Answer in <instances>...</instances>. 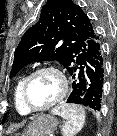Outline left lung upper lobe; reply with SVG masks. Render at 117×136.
I'll list each match as a JSON object with an SVG mask.
<instances>
[{"instance_id": "left-lung-upper-lobe-1", "label": "left lung upper lobe", "mask_w": 117, "mask_h": 136, "mask_svg": "<svg viewBox=\"0 0 117 136\" xmlns=\"http://www.w3.org/2000/svg\"><path fill=\"white\" fill-rule=\"evenodd\" d=\"M98 35L91 20L71 0H48L14 53L10 77L32 62L57 60L68 70Z\"/></svg>"}]
</instances>
